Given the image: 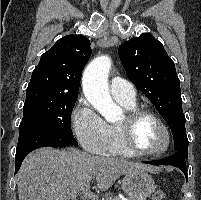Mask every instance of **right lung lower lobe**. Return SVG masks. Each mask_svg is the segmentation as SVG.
Returning a JSON list of instances; mask_svg holds the SVG:
<instances>
[{
  "mask_svg": "<svg viewBox=\"0 0 201 200\" xmlns=\"http://www.w3.org/2000/svg\"><path fill=\"white\" fill-rule=\"evenodd\" d=\"M78 145L73 136L65 135L48 128H29L19 131L15 155V174L19 171L24 158L34 149L51 146L64 147Z\"/></svg>",
  "mask_w": 201,
  "mask_h": 200,
  "instance_id": "98d812e1",
  "label": "right lung lower lobe"
}]
</instances>
